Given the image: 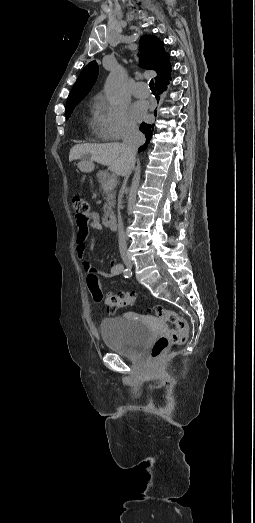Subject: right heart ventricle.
Instances as JSON below:
<instances>
[{
    "instance_id": "right-heart-ventricle-1",
    "label": "right heart ventricle",
    "mask_w": 255,
    "mask_h": 523,
    "mask_svg": "<svg viewBox=\"0 0 255 523\" xmlns=\"http://www.w3.org/2000/svg\"><path fill=\"white\" fill-rule=\"evenodd\" d=\"M90 129L97 140H107L111 137L108 117L105 109L96 105L89 122Z\"/></svg>"
}]
</instances>
